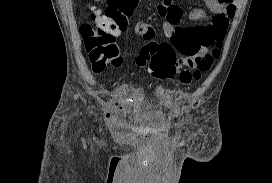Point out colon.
Masks as SVG:
<instances>
[{"label":"colon","instance_id":"obj_1","mask_svg":"<svg viewBox=\"0 0 272 183\" xmlns=\"http://www.w3.org/2000/svg\"><path fill=\"white\" fill-rule=\"evenodd\" d=\"M138 2L139 0H108L105 10L102 11L97 7V0H87V14L80 25V33L94 72H102L108 65L121 64L115 37L126 30L128 19ZM176 52L170 43L152 41L143 46L137 63L147 66L154 77L169 79L178 70ZM219 54L218 45L198 58L194 69H181L180 81L189 84L199 80L211 68Z\"/></svg>","mask_w":272,"mask_h":183}]
</instances>
